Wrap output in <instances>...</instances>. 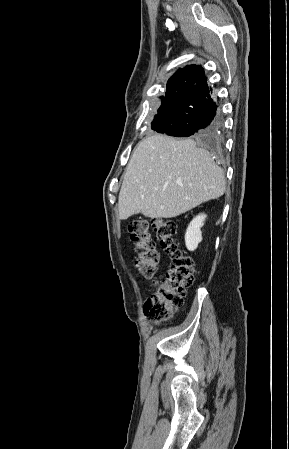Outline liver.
I'll return each instance as SVG.
<instances>
[{
	"label": "liver",
	"mask_w": 289,
	"mask_h": 449,
	"mask_svg": "<svg viewBox=\"0 0 289 449\" xmlns=\"http://www.w3.org/2000/svg\"><path fill=\"white\" fill-rule=\"evenodd\" d=\"M225 188L223 170L194 140L149 136L127 165L118 198L119 218L134 214L173 218L221 197Z\"/></svg>",
	"instance_id": "1"
}]
</instances>
